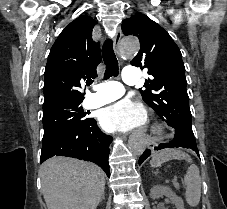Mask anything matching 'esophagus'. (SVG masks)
<instances>
[{
	"label": "esophagus",
	"instance_id": "1",
	"mask_svg": "<svg viewBox=\"0 0 227 209\" xmlns=\"http://www.w3.org/2000/svg\"><path fill=\"white\" fill-rule=\"evenodd\" d=\"M121 36H122V31H121V28L118 27V29L115 33V36H114V50H115V52L118 56H119L118 46H119V43H120ZM147 148L148 149H155L156 145L154 144L153 141H148L147 142Z\"/></svg>",
	"mask_w": 227,
	"mask_h": 209
}]
</instances>
